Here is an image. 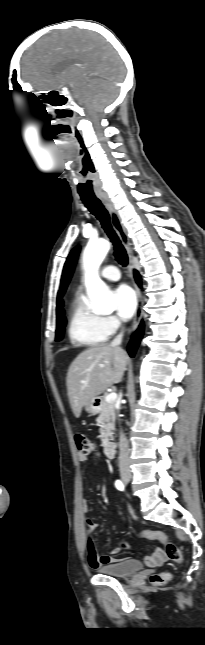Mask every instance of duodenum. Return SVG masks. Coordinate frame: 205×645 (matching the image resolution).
<instances>
[{
	"label": "duodenum",
	"instance_id": "obj_1",
	"mask_svg": "<svg viewBox=\"0 0 205 645\" xmlns=\"http://www.w3.org/2000/svg\"><path fill=\"white\" fill-rule=\"evenodd\" d=\"M115 445L113 442H107L104 445V454L107 458L113 459L115 457Z\"/></svg>",
	"mask_w": 205,
	"mask_h": 645
}]
</instances>
